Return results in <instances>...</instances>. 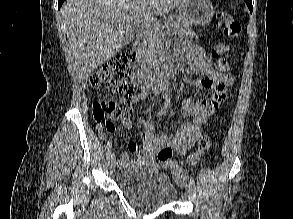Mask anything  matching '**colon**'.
<instances>
[{"label": "colon", "instance_id": "obj_1", "mask_svg": "<svg viewBox=\"0 0 293 219\" xmlns=\"http://www.w3.org/2000/svg\"><path fill=\"white\" fill-rule=\"evenodd\" d=\"M219 24L226 36L237 37L240 34L241 26L234 15L224 11L219 15ZM228 47L223 43H218L212 48V55L216 58V68L222 74H229V63L224 57ZM137 59L135 52L117 56L103 64L95 73L90 75V85L101 91H113L123 98L121 102L116 99L96 100L92 105V113L99 129L108 133L114 132L117 121L129 119L132 111V100L134 91L129 85V77L132 67ZM210 138L208 135L201 137L197 150L190 154L185 161L187 165L195 164L209 149ZM173 150L164 147L158 151L157 157L165 166L174 168L177 175H181L178 164L172 161Z\"/></svg>", "mask_w": 293, "mask_h": 219}]
</instances>
